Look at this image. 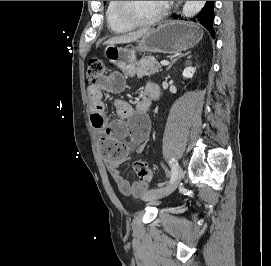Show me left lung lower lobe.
Segmentation results:
<instances>
[{"label":"left lung lower lobe","instance_id":"0a47b994","mask_svg":"<svg viewBox=\"0 0 271 266\" xmlns=\"http://www.w3.org/2000/svg\"><path fill=\"white\" fill-rule=\"evenodd\" d=\"M213 8H214V1H206V4L202 8V10L196 15L193 21L199 22L201 25H203L214 37L215 31L213 28V20H214ZM173 17L178 18L180 16L173 14Z\"/></svg>","mask_w":271,"mask_h":266}]
</instances>
